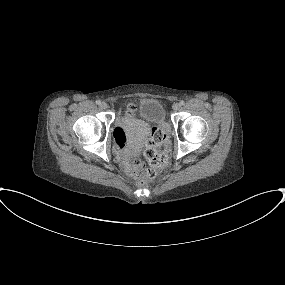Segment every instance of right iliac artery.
Masks as SVG:
<instances>
[{
	"mask_svg": "<svg viewBox=\"0 0 285 285\" xmlns=\"http://www.w3.org/2000/svg\"><path fill=\"white\" fill-rule=\"evenodd\" d=\"M96 104H97V105H100V104H101V101H100V100H97V101H96Z\"/></svg>",
	"mask_w": 285,
	"mask_h": 285,
	"instance_id": "82829eb1",
	"label": "right iliac artery"
}]
</instances>
